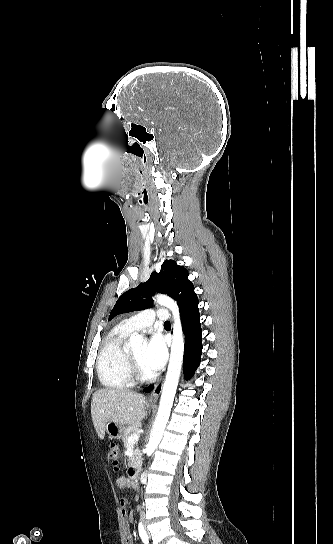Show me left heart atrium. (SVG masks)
Listing matches in <instances>:
<instances>
[{
  "mask_svg": "<svg viewBox=\"0 0 333 544\" xmlns=\"http://www.w3.org/2000/svg\"><path fill=\"white\" fill-rule=\"evenodd\" d=\"M167 359V349L162 336L153 335L142 357L144 367L149 372H156L162 369Z\"/></svg>",
  "mask_w": 333,
  "mask_h": 544,
  "instance_id": "1",
  "label": "left heart atrium"
}]
</instances>
